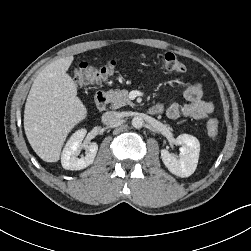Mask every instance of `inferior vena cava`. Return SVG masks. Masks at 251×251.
I'll use <instances>...</instances> for the list:
<instances>
[{
  "instance_id": "602c4592",
  "label": "inferior vena cava",
  "mask_w": 251,
  "mask_h": 251,
  "mask_svg": "<svg viewBox=\"0 0 251 251\" xmlns=\"http://www.w3.org/2000/svg\"><path fill=\"white\" fill-rule=\"evenodd\" d=\"M120 120L119 114L115 111L105 112L102 115V123L106 125H113Z\"/></svg>"
}]
</instances>
